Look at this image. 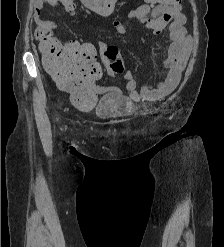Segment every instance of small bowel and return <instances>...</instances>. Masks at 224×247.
<instances>
[{
	"instance_id": "obj_1",
	"label": "small bowel",
	"mask_w": 224,
	"mask_h": 247,
	"mask_svg": "<svg viewBox=\"0 0 224 247\" xmlns=\"http://www.w3.org/2000/svg\"><path fill=\"white\" fill-rule=\"evenodd\" d=\"M63 0H35L34 17L36 19V35L37 32L45 28L51 30L56 27L54 22L47 21L42 17V12L45 6L59 7L62 6ZM89 9L96 12L101 17H111L114 10L115 0H81ZM172 5L163 7L156 5L151 7L149 4H142L136 9L130 11L128 17L143 24L150 29L154 34H160L168 27V37L171 44L167 50L166 56L163 59V66L167 70L164 79L155 86L145 85L140 91L136 90V80L131 71L124 74L125 93L134 102L141 100H157L171 93L178 85L182 71L187 63L192 39L187 33L185 27L187 17L180 7V0H174ZM111 23L114 29L124 34L125 26L121 21L111 18ZM98 49L104 54L107 45L103 42L98 43ZM40 49L46 55V50L43 42L40 41ZM109 72H113L109 68ZM116 92L121 93L119 89Z\"/></svg>"
}]
</instances>
